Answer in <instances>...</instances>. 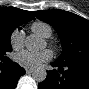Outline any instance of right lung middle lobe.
<instances>
[{"instance_id": "1", "label": "right lung middle lobe", "mask_w": 89, "mask_h": 89, "mask_svg": "<svg viewBox=\"0 0 89 89\" xmlns=\"http://www.w3.org/2000/svg\"><path fill=\"white\" fill-rule=\"evenodd\" d=\"M17 27L10 24L7 21H0V57L1 59L6 58L4 56L7 52H11L12 48L10 45V36L14 29Z\"/></svg>"}]
</instances>
